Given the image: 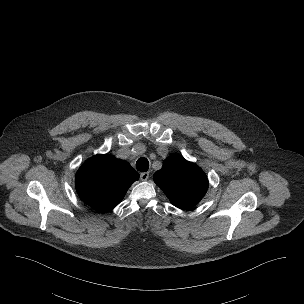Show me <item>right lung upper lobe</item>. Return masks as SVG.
I'll use <instances>...</instances> for the list:
<instances>
[{"label": "right lung upper lobe", "instance_id": "right-lung-upper-lobe-1", "mask_svg": "<svg viewBox=\"0 0 304 304\" xmlns=\"http://www.w3.org/2000/svg\"><path fill=\"white\" fill-rule=\"evenodd\" d=\"M139 174L124 160L96 155L79 168L75 185L80 198L97 211L107 212L118 205Z\"/></svg>", "mask_w": 304, "mask_h": 304}]
</instances>
